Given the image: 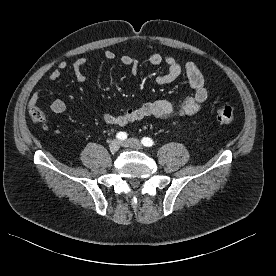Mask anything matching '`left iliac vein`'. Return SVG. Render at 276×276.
I'll list each match as a JSON object with an SVG mask.
<instances>
[{"label":"left iliac vein","mask_w":276,"mask_h":276,"mask_svg":"<svg viewBox=\"0 0 276 276\" xmlns=\"http://www.w3.org/2000/svg\"><path fill=\"white\" fill-rule=\"evenodd\" d=\"M122 146L124 147H130V148H134V149H141L142 148V144L138 139L135 138H129L125 141H123Z\"/></svg>","instance_id":"obj_1"}]
</instances>
